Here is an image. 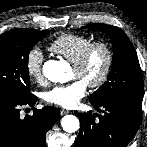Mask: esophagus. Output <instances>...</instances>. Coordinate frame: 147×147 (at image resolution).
Returning <instances> with one entry per match:
<instances>
[{"mask_svg":"<svg viewBox=\"0 0 147 147\" xmlns=\"http://www.w3.org/2000/svg\"><path fill=\"white\" fill-rule=\"evenodd\" d=\"M67 113H69V111H67V110H64V109H61L60 110V115H65V114H67Z\"/></svg>","mask_w":147,"mask_h":147,"instance_id":"1","label":"esophagus"}]
</instances>
